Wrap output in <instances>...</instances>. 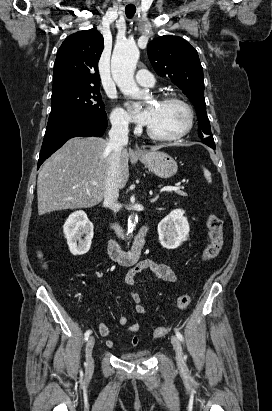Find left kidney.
I'll use <instances>...</instances> for the list:
<instances>
[{
  "label": "left kidney",
  "instance_id": "obj_1",
  "mask_svg": "<svg viewBox=\"0 0 272 411\" xmlns=\"http://www.w3.org/2000/svg\"><path fill=\"white\" fill-rule=\"evenodd\" d=\"M184 213L181 209H175L159 222V241L164 248L175 249L187 240L190 227Z\"/></svg>",
  "mask_w": 272,
  "mask_h": 411
}]
</instances>
